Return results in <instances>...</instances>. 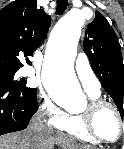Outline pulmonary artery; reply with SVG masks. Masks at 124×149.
I'll return each instance as SVG.
<instances>
[{
  "mask_svg": "<svg viewBox=\"0 0 124 149\" xmlns=\"http://www.w3.org/2000/svg\"><path fill=\"white\" fill-rule=\"evenodd\" d=\"M76 74L88 94H99L101 89V84L95 75L92 67L85 54L81 53L78 56L75 65ZM25 75L33 74L32 70H26Z\"/></svg>",
  "mask_w": 124,
  "mask_h": 149,
  "instance_id": "pulmonary-artery-1",
  "label": "pulmonary artery"
}]
</instances>
